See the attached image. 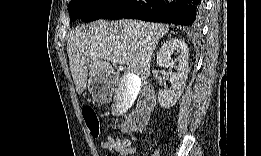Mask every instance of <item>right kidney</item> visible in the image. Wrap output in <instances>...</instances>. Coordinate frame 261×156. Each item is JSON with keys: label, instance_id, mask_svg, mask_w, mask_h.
I'll use <instances>...</instances> for the list:
<instances>
[{"label": "right kidney", "instance_id": "obj_1", "mask_svg": "<svg viewBox=\"0 0 261 156\" xmlns=\"http://www.w3.org/2000/svg\"><path fill=\"white\" fill-rule=\"evenodd\" d=\"M177 54L176 59H172V55ZM189 49L185 41L178 38H173L166 41L157 53V65L159 67L175 68L176 72L171 73L169 81L171 83V88L161 89L158 93V101L163 108H169L175 105L177 100L183 93L184 87L186 85L188 70H189ZM127 76L122 79V82L127 80ZM132 94L128 96L130 101H133L137 92L138 84L137 82Z\"/></svg>", "mask_w": 261, "mask_h": 156}]
</instances>
